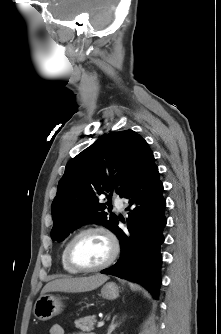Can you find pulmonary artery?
<instances>
[{"label":"pulmonary artery","mask_w":221,"mask_h":334,"mask_svg":"<svg viewBox=\"0 0 221 334\" xmlns=\"http://www.w3.org/2000/svg\"><path fill=\"white\" fill-rule=\"evenodd\" d=\"M114 205L116 206L117 209L122 210L124 207L123 200L120 198H115L114 199Z\"/></svg>","instance_id":"obj_1"}]
</instances>
